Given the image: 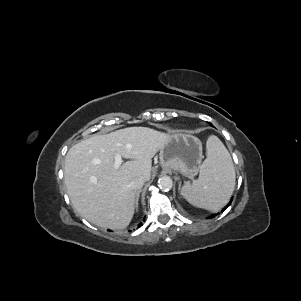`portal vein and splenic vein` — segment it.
Returning <instances> with one entry per match:
<instances>
[{
	"mask_svg": "<svg viewBox=\"0 0 301 301\" xmlns=\"http://www.w3.org/2000/svg\"><path fill=\"white\" fill-rule=\"evenodd\" d=\"M122 164V157L119 154L115 155V161H114V166L116 168L120 167V165Z\"/></svg>",
	"mask_w": 301,
	"mask_h": 301,
	"instance_id": "1",
	"label": "portal vein and splenic vein"
}]
</instances>
